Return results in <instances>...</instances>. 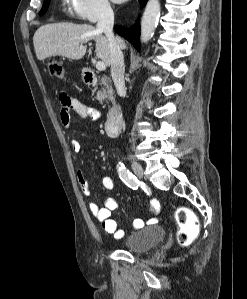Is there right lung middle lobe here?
<instances>
[{"label": "right lung middle lobe", "mask_w": 247, "mask_h": 299, "mask_svg": "<svg viewBox=\"0 0 247 299\" xmlns=\"http://www.w3.org/2000/svg\"><path fill=\"white\" fill-rule=\"evenodd\" d=\"M49 2H50V0H45L44 1L43 7H42L39 15H43L47 11L48 6H49Z\"/></svg>", "instance_id": "dd1d6c3e"}]
</instances>
